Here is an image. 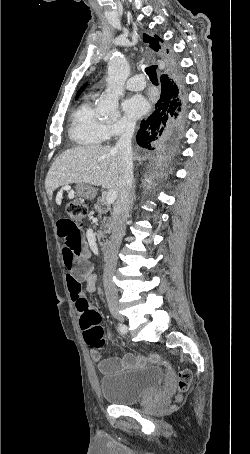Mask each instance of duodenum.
<instances>
[{"label": "duodenum", "mask_w": 250, "mask_h": 454, "mask_svg": "<svg viewBox=\"0 0 250 454\" xmlns=\"http://www.w3.org/2000/svg\"><path fill=\"white\" fill-rule=\"evenodd\" d=\"M102 252H103L104 260L108 261L110 259L111 252H112V247H111V244L109 242H105L102 245Z\"/></svg>", "instance_id": "duodenum-1"}]
</instances>
